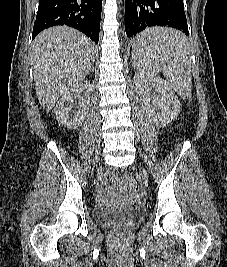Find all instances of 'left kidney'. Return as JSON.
I'll use <instances>...</instances> for the list:
<instances>
[{"label": "left kidney", "instance_id": "left-kidney-1", "mask_svg": "<svg viewBox=\"0 0 227 267\" xmlns=\"http://www.w3.org/2000/svg\"><path fill=\"white\" fill-rule=\"evenodd\" d=\"M134 83L147 115L156 126L165 127L178 117L180 101L169 83L160 77H144V72L135 74Z\"/></svg>", "mask_w": 227, "mask_h": 267}]
</instances>
